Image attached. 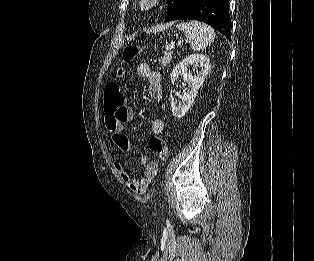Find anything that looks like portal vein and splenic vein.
<instances>
[{
	"label": "portal vein and splenic vein",
	"instance_id": "18ae733b",
	"mask_svg": "<svg viewBox=\"0 0 314 261\" xmlns=\"http://www.w3.org/2000/svg\"><path fill=\"white\" fill-rule=\"evenodd\" d=\"M174 48V43H171V45L166 46L167 50H171Z\"/></svg>",
	"mask_w": 314,
	"mask_h": 261
}]
</instances>
